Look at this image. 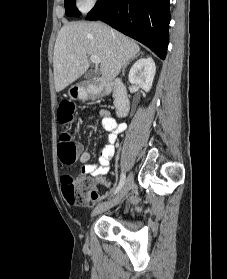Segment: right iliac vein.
I'll use <instances>...</instances> for the list:
<instances>
[{
  "mask_svg": "<svg viewBox=\"0 0 227 279\" xmlns=\"http://www.w3.org/2000/svg\"><path fill=\"white\" fill-rule=\"evenodd\" d=\"M133 184H134V176L132 173H130L129 176L127 177L126 182L124 183V186L122 187L120 192L117 194V196L114 197L113 199L97 206L93 210L91 216L94 217V216L102 213L103 211H106V210L118 205L121 202V200L127 195V193L131 190Z\"/></svg>",
  "mask_w": 227,
  "mask_h": 279,
  "instance_id": "obj_1",
  "label": "right iliac vein"
}]
</instances>
